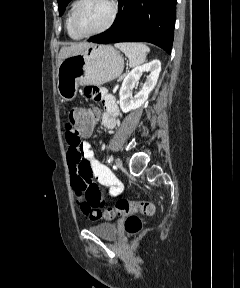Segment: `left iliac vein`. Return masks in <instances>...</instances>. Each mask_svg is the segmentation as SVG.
<instances>
[{
  "instance_id": "1",
  "label": "left iliac vein",
  "mask_w": 240,
  "mask_h": 288,
  "mask_svg": "<svg viewBox=\"0 0 240 288\" xmlns=\"http://www.w3.org/2000/svg\"><path fill=\"white\" fill-rule=\"evenodd\" d=\"M115 165H116L117 167H121V166H122V161H121L120 158H116V160H115Z\"/></svg>"
}]
</instances>
